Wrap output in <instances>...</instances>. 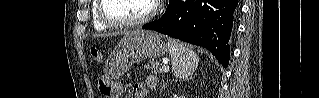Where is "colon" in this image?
<instances>
[{
  "label": "colon",
  "mask_w": 319,
  "mask_h": 98,
  "mask_svg": "<svg viewBox=\"0 0 319 98\" xmlns=\"http://www.w3.org/2000/svg\"><path fill=\"white\" fill-rule=\"evenodd\" d=\"M90 56L91 58L97 62L100 63L102 61V55L99 49H97L96 47H92L90 49Z\"/></svg>",
  "instance_id": "1"
}]
</instances>
